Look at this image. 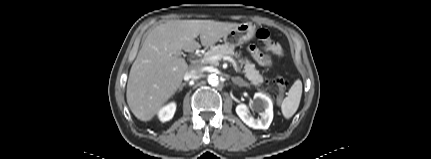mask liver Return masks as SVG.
<instances>
[{
  "mask_svg": "<svg viewBox=\"0 0 431 159\" xmlns=\"http://www.w3.org/2000/svg\"><path fill=\"white\" fill-rule=\"evenodd\" d=\"M238 23L214 20H170L147 35L131 67L127 103L141 121H150L180 87L188 66L181 51L210 47Z\"/></svg>",
  "mask_w": 431,
  "mask_h": 159,
  "instance_id": "6515ba94",
  "label": "liver"
}]
</instances>
